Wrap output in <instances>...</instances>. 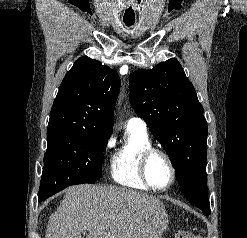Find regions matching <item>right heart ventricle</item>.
Segmentation results:
<instances>
[{"label": "right heart ventricle", "instance_id": "1", "mask_svg": "<svg viewBox=\"0 0 247 238\" xmlns=\"http://www.w3.org/2000/svg\"><path fill=\"white\" fill-rule=\"evenodd\" d=\"M151 147V141L145 130L128 126L120 146L110 159L112 179L121 186L147 190L139 172V162L143 152Z\"/></svg>", "mask_w": 247, "mask_h": 238}]
</instances>
